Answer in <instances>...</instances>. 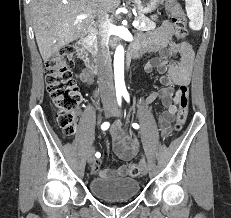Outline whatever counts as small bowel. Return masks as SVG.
I'll return each mask as SVG.
<instances>
[{
	"label": "small bowel",
	"instance_id": "c3829d8e",
	"mask_svg": "<svg viewBox=\"0 0 231 218\" xmlns=\"http://www.w3.org/2000/svg\"><path fill=\"white\" fill-rule=\"evenodd\" d=\"M139 55L147 53H159L158 57L151 59L145 66V71L150 73L156 69L160 74L161 82L165 87L153 91L143 102L148 106L158 100L166 107L159 118L160 133L163 138L168 137L172 132V117L176 114L179 105V94L183 86H188L191 78L194 62V52L187 42H176L173 39V27L169 21H163L161 25L145 34L141 39L140 46H136ZM169 53L173 60L168 61L166 53ZM176 59H179L177 61ZM80 81L85 84L93 83L92 73L84 70L79 75ZM112 136L113 151L118 158L130 160L136 155L137 147L124 135L121 125L116 123L110 130ZM91 165V171L96 173L100 169L101 154ZM126 166L117 169H104L100 171L102 176H126Z\"/></svg>",
	"mask_w": 231,
	"mask_h": 218
}]
</instances>
